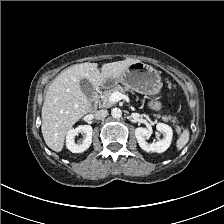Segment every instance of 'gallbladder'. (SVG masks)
Returning <instances> with one entry per match:
<instances>
[{
  "label": "gallbladder",
  "mask_w": 224,
  "mask_h": 224,
  "mask_svg": "<svg viewBox=\"0 0 224 224\" xmlns=\"http://www.w3.org/2000/svg\"><path fill=\"white\" fill-rule=\"evenodd\" d=\"M80 88L82 92L86 95L87 98H92L94 94V88L92 84L87 79H81L80 80Z\"/></svg>",
  "instance_id": "1"
}]
</instances>
